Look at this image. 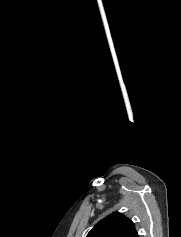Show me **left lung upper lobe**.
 I'll use <instances>...</instances> for the list:
<instances>
[{
	"label": "left lung upper lobe",
	"instance_id": "left-lung-upper-lobe-1",
	"mask_svg": "<svg viewBox=\"0 0 181 237\" xmlns=\"http://www.w3.org/2000/svg\"><path fill=\"white\" fill-rule=\"evenodd\" d=\"M87 237H139L134 223L119 212H114L98 222Z\"/></svg>",
	"mask_w": 181,
	"mask_h": 237
}]
</instances>
